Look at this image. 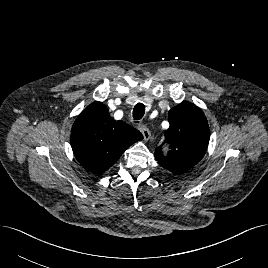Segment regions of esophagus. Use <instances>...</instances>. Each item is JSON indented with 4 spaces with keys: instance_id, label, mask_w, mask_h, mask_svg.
I'll list each match as a JSON object with an SVG mask.
<instances>
[{
    "instance_id": "esophagus-1",
    "label": "esophagus",
    "mask_w": 268,
    "mask_h": 268,
    "mask_svg": "<svg viewBox=\"0 0 268 268\" xmlns=\"http://www.w3.org/2000/svg\"><path fill=\"white\" fill-rule=\"evenodd\" d=\"M138 128L143 134L144 140H149L151 136L149 129L144 124H139Z\"/></svg>"
}]
</instances>
